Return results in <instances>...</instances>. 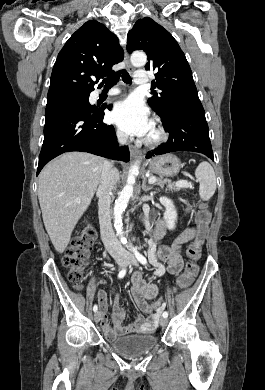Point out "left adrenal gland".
I'll use <instances>...</instances> for the list:
<instances>
[{"mask_svg": "<svg viewBox=\"0 0 265 390\" xmlns=\"http://www.w3.org/2000/svg\"><path fill=\"white\" fill-rule=\"evenodd\" d=\"M151 189H152V187H149L146 185V178L144 177L143 184H142V190L146 192V191L151 190Z\"/></svg>", "mask_w": 265, "mask_h": 390, "instance_id": "obj_1", "label": "left adrenal gland"}]
</instances>
